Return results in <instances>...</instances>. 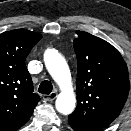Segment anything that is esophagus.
I'll use <instances>...</instances> for the list:
<instances>
[{
  "label": "esophagus",
  "mask_w": 131,
  "mask_h": 131,
  "mask_svg": "<svg viewBox=\"0 0 131 131\" xmlns=\"http://www.w3.org/2000/svg\"><path fill=\"white\" fill-rule=\"evenodd\" d=\"M57 92L56 91H53L51 94H49V95H44L43 96V100L44 101H47V102H52L53 100H55L56 99V97H57Z\"/></svg>",
  "instance_id": "1"
}]
</instances>
